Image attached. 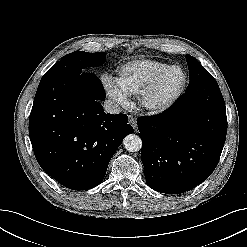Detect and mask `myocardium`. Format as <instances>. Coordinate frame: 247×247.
<instances>
[{
    "label": "myocardium",
    "instance_id": "1",
    "mask_svg": "<svg viewBox=\"0 0 247 247\" xmlns=\"http://www.w3.org/2000/svg\"><path fill=\"white\" fill-rule=\"evenodd\" d=\"M179 70L182 74V82L180 86L165 97H158L157 92L160 87L162 78L169 71ZM187 85V74L185 70L178 65H170L158 71L148 84L139 93V101L141 106L152 114H159L170 109L181 97Z\"/></svg>",
    "mask_w": 247,
    "mask_h": 247
}]
</instances>
